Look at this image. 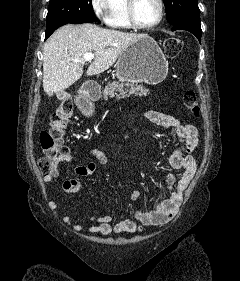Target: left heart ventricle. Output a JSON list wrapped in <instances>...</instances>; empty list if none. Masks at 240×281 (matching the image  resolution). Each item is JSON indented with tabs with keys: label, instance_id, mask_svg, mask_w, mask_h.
Returning a JSON list of instances; mask_svg holds the SVG:
<instances>
[{
	"label": "left heart ventricle",
	"instance_id": "left-heart-ventricle-1",
	"mask_svg": "<svg viewBox=\"0 0 240 281\" xmlns=\"http://www.w3.org/2000/svg\"><path fill=\"white\" fill-rule=\"evenodd\" d=\"M136 17L139 23L147 25L155 22L159 15L157 0H136Z\"/></svg>",
	"mask_w": 240,
	"mask_h": 281
}]
</instances>
